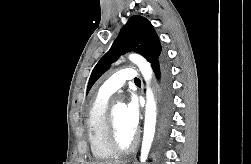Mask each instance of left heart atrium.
<instances>
[{
  "label": "left heart atrium",
  "mask_w": 251,
  "mask_h": 164,
  "mask_svg": "<svg viewBox=\"0 0 251 164\" xmlns=\"http://www.w3.org/2000/svg\"><path fill=\"white\" fill-rule=\"evenodd\" d=\"M124 117L127 127L135 133L140 118L139 106L135 98H131V100L124 106Z\"/></svg>",
  "instance_id": "39dd6f15"
}]
</instances>
